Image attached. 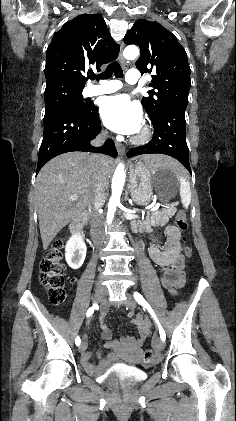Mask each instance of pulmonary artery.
<instances>
[{
    "instance_id": "1",
    "label": "pulmonary artery",
    "mask_w": 236,
    "mask_h": 421,
    "mask_svg": "<svg viewBox=\"0 0 236 421\" xmlns=\"http://www.w3.org/2000/svg\"><path fill=\"white\" fill-rule=\"evenodd\" d=\"M125 78L128 84L136 83L137 85H139L138 82L141 81V76L138 69H129L127 71ZM121 88H122V83L120 81L115 80V81L104 82L99 85L87 87L86 90L84 91V96L92 97V96L101 95V94L113 93L115 91L120 90Z\"/></svg>"
}]
</instances>
